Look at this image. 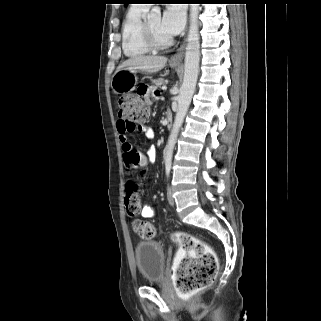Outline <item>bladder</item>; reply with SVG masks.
Instances as JSON below:
<instances>
[{
  "instance_id": "1",
  "label": "bladder",
  "mask_w": 321,
  "mask_h": 321,
  "mask_svg": "<svg viewBox=\"0 0 321 321\" xmlns=\"http://www.w3.org/2000/svg\"><path fill=\"white\" fill-rule=\"evenodd\" d=\"M137 269L146 283L160 282L165 273V253L162 246L152 240L140 241L134 248Z\"/></svg>"
}]
</instances>
